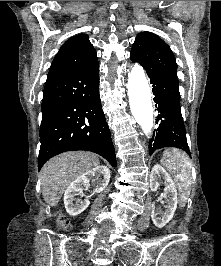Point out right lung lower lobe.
Instances as JSON below:
<instances>
[{
    "label": "right lung lower lobe",
    "mask_w": 221,
    "mask_h": 266,
    "mask_svg": "<svg viewBox=\"0 0 221 266\" xmlns=\"http://www.w3.org/2000/svg\"><path fill=\"white\" fill-rule=\"evenodd\" d=\"M38 169L51 157L72 150L116 157L99 96V64L45 84Z\"/></svg>",
    "instance_id": "98d812e1"
}]
</instances>
